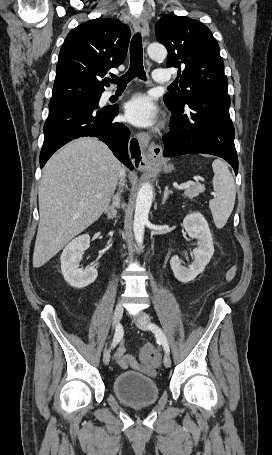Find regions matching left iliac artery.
I'll list each match as a JSON object with an SVG mask.
<instances>
[{"instance_id":"1","label":"left iliac artery","mask_w":272,"mask_h":455,"mask_svg":"<svg viewBox=\"0 0 272 455\" xmlns=\"http://www.w3.org/2000/svg\"><path fill=\"white\" fill-rule=\"evenodd\" d=\"M149 328L156 335L157 339L162 343L165 352L169 353V345H168L166 336H165L164 332L162 331V329L155 324L149 325Z\"/></svg>"}]
</instances>
